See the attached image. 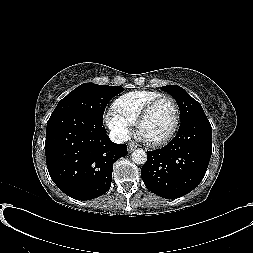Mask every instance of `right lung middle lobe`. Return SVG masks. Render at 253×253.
Returning a JSON list of instances; mask_svg holds the SVG:
<instances>
[{
    "instance_id": "right-lung-middle-lobe-1",
    "label": "right lung middle lobe",
    "mask_w": 253,
    "mask_h": 253,
    "mask_svg": "<svg viewBox=\"0 0 253 253\" xmlns=\"http://www.w3.org/2000/svg\"><path fill=\"white\" fill-rule=\"evenodd\" d=\"M122 91L124 89L121 86L84 83L60 100L51 116L64 112H80L103 121L107 104Z\"/></svg>"
}]
</instances>
